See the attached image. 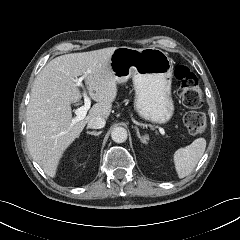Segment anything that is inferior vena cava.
I'll list each match as a JSON object with an SVG mask.
<instances>
[{"mask_svg":"<svg viewBox=\"0 0 240 240\" xmlns=\"http://www.w3.org/2000/svg\"><path fill=\"white\" fill-rule=\"evenodd\" d=\"M106 121L103 117L97 116L92 118L89 122H88V128L91 129H101L105 126Z\"/></svg>","mask_w":240,"mask_h":240,"instance_id":"obj_1","label":"inferior vena cava"}]
</instances>
